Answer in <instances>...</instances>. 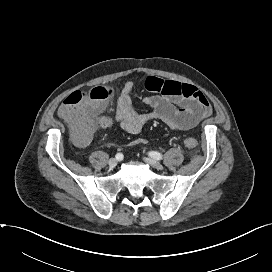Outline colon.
<instances>
[{
    "label": "colon",
    "instance_id": "1",
    "mask_svg": "<svg viewBox=\"0 0 272 272\" xmlns=\"http://www.w3.org/2000/svg\"><path fill=\"white\" fill-rule=\"evenodd\" d=\"M111 89L96 87L91 91H75L68 95L60 108V115L70 126L72 137L79 145L87 144L94 132L95 116L99 108L112 96ZM187 148H195V138L184 139Z\"/></svg>",
    "mask_w": 272,
    "mask_h": 272
}]
</instances>
